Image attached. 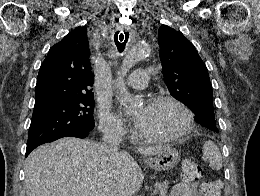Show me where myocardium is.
<instances>
[{
    "instance_id": "f54148a6",
    "label": "myocardium",
    "mask_w": 260,
    "mask_h": 196,
    "mask_svg": "<svg viewBox=\"0 0 260 196\" xmlns=\"http://www.w3.org/2000/svg\"><path fill=\"white\" fill-rule=\"evenodd\" d=\"M173 104L179 107L186 115V123L184 127L175 132L170 134H149V133H142V138L147 142H171L176 141L179 139L184 138L187 134L190 133V131L193 128L194 125V113L191 110V108L185 104L182 100L179 98L173 96V95H158L154 96L149 99L148 105H158V104Z\"/></svg>"
}]
</instances>
